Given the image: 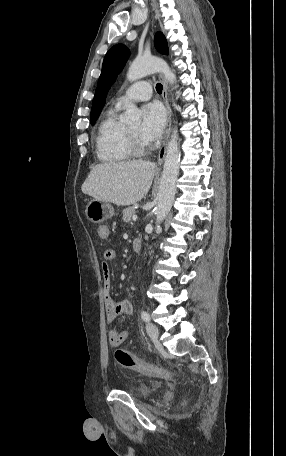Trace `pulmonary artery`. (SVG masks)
<instances>
[{
    "label": "pulmonary artery",
    "mask_w": 286,
    "mask_h": 456,
    "mask_svg": "<svg viewBox=\"0 0 286 456\" xmlns=\"http://www.w3.org/2000/svg\"><path fill=\"white\" fill-rule=\"evenodd\" d=\"M152 96V88L148 82L140 81L130 87L117 99L116 106L121 107L127 102H140Z\"/></svg>",
    "instance_id": "e3ab8cb5"
}]
</instances>
